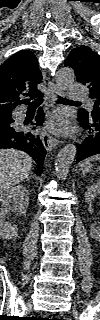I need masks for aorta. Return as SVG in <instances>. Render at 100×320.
I'll use <instances>...</instances> for the list:
<instances>
[{
    "mask_svg": "<svg viewBox=\"0 0 100 320\" xmlns=\"http://www.w3.org/2000/svg\"><path fill=\"white\" fill-rule=\"evenodd\" d=\"M75 74L71 68H60L55 76L56 83L63 89H67L74 83ZM77 153V148L73 144H68L60 150L55 160L56 176L66 179L71 164L73 163Z\"/></svg>",
    "mask_w": 100,
    "mask_h": 320,
    "instance_id": "1",
    "label": "aorta"
}]
</instances>
